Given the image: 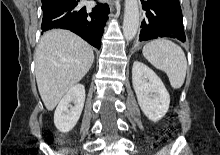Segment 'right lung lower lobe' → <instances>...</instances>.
Masks as SVG:
<instances>
[{
	"mask_svg": "<svg viewBox=\"0 0 220 155\" xmlns=\"http://www.w3.org/2000/svg\"><path fill=\"white\" fill-rule=\"evenodd\" d=\"M80 0H42V30L68 29L96 48H100L105 22L108 19L107 4H98L92 11L78 6Z\"/></svg>",
	"mask_w": 220,
	"mask_h": 155,
	"instance_id": "obj_1",
	"label": "right lung lower lobe"
}]
</instances>
